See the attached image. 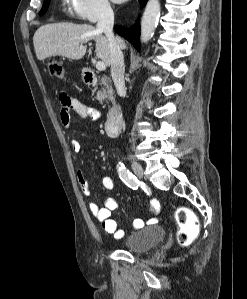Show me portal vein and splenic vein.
<instances>
[{
  "label": "portal vein and splenic vein",
  "instance_id": "1",
  "mask_svg": "<svg viewBox=\"0 0 247 299\" xmlns=\"http://www.w3.org/2000/svg\"><path fill=\"white\" fill-rule=\"evenodd\" d=\"M96 69L99 70V71H104L106 69L105 63L102 62V61H98L96 63Z\"/></svg>",
  "mask_w": 247,
  "mask_h": 299
}]
</instances>
